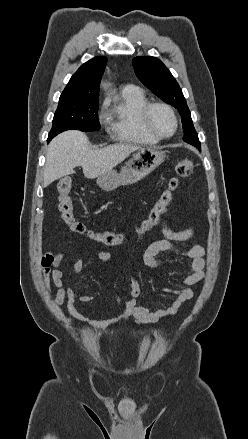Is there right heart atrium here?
Listing matches in <instances>:
<instances>
[{
  "mask_svg": "<svg viewBox=\"0 0 248 439\" xmlns=\"http://www.w3.org/2000/svg\"><path fill=\"white\" fill-rule=\"evenodd\" d=\"M99 116H100L101 121L105 120V118H106V104L105 103L100 108Z\"/></svg>",
  "mask_w": 248,
  "mask_h": 439,
  "instance_id": "right-heart-atrium-1",
  "label": "right heart atrium"
}]
</instances>
